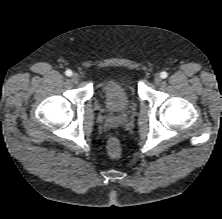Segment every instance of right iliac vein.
Segmentation results:
<instances>
[{
  "label": "right iliac vein",
  "mask_w": 222,
  "mask_h": 219,
  "mask_svg": "<svg viewBox=\"0 0 222 219\" xmlns=\"http://www.w3.org/2000/svg\"><path fill=\"white\" fill-rule=\"evenodd\" d=\"M71 81H72L73 83H77V82L79 81V75H78L77 73H73V74L71 75Z\"/></svg>",
  "instance_id": "1"
}]
</instances>
